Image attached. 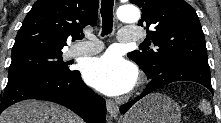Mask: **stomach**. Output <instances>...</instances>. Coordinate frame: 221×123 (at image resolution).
<instances>
[{"instance_id": "stomach-1", "label": "stomach", "mask_w": 221, "mask_h": 123, "mask_svg": "<svg viewBox=\"0 0 221 123\" xmlns=\"http://www.w3.org/2000/svg\"><path fill=\"white\" fill-rule=\"evenodd\" d=\"M181 110L164 94L152 93L137 102L122 123H180Z\"/></svg>"}]
</instances>
